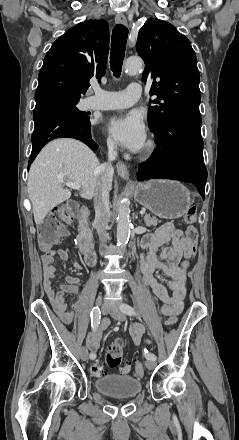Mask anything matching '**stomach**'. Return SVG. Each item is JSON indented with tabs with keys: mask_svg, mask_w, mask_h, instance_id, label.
<instances>
[{
	"mask_svg": "<svg viewBox=\"0 0 239 440\" xmlns=\"http://www.w3.org/2000/svg\"><path fill=\"white\" fill-rule=\"evenodd\" d=\"M130 190L136 202L166 220L181 218L192 204L189 190L174 180L138 182L136 188Z\"/></svg>",
	"mask_w": 239,
	"mask_h": 440,
	"instance_id": "1",
	"label": "stomach"
}]
</instances>
